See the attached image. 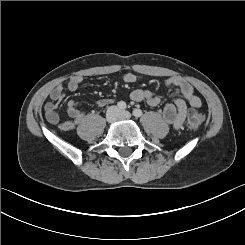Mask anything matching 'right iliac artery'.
<instances>
[{"instance_id": "obj_1", "label": "right iliac artery", "mask_w": 245, "mask_h": 245, "mask_svg": "<svg viewBox=\"0 0 245 245\" xmlns=\"http://www.w3.org/2000/svg\"><path fill=\"white\" fill-rule=\"evenodd\" d=\"M117 107L119 110H125L126 109V103L124 101H120L117 103Z\"/></svg>"}]
</instances>
